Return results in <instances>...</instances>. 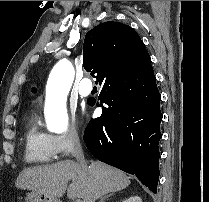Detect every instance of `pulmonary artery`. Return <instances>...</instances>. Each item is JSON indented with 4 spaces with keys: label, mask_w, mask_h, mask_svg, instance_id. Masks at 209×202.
Segmentation results:
<instances>
[{
    "label": "pulmonary artery",
    "mask_w": 209,
    "mask_h": 202,
    "mask_svg": "<svg viewBox=\"0 0 209 202\" xmlns=\"http://www.w3.org/2000/svg\"><path fill=\"white\" fill-rule=\"evenodd\" d=\"M91 91H92L91 82H90L89 79H86V80L82 83L79 92H80V94H81L82 96L85 97V96H88V95L90 94Z\"/></svg>",
    "instance_id": "pulmonary-artery-1"
}]
</instances>
